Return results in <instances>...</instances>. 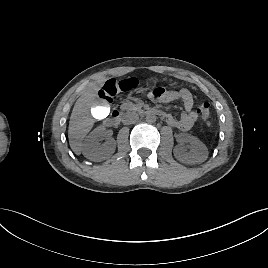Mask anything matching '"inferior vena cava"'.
I'll return each instance as SVG.
<instances>
[{
  "instance_id": "obj_1",
  "label": "inferior vena cava",
  "mask_w": 268,
  "mask_h": 268,
  "mask_svg": "<svg viewBox=\"0 0 268 268\" xmlns=\"http://www.w3.org/2000/svg\"><path fill=\"white\" fill-rule=\"evenodd\" d=\"M138 114L135 112H128L123 116L122 122L125 125L134 124L138 120Z\"/></svg>"
}]
</instances>
